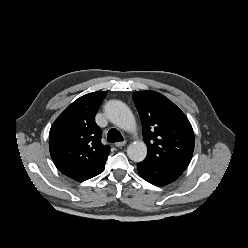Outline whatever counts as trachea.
Here are the masks:
<instances>
[{
    "label": "trachea",
    "instance_id": "obj_1",
    "mask_svg": "<svg viewBox=\"0 0 248 248\" xmlns=\"http://www.w3.org/2000/svg\"><path fill=\"white\" fill-rule=\"evenodd\" d=\"M123 136L121 135V133L115 129V128H112L108 131V134H107V141L108 142H120V141H123Z\"/></svg>",
    "mask_w": 248,
    "mask_h": 248
}]
</instances>
